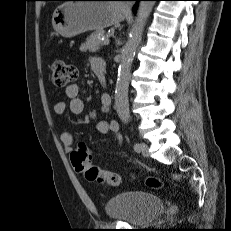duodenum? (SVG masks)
Returning a JSON list of instances; mask_svg holds the SVG:
<instances>
[{"instance_id":"1","label":"duodenum","mask_w":231,"mask_h":231,"mask_svg":"<svg viewBox=\"0 0 231 231\" xmlns=\"http://www.w3.org/2000/svg\"><path fill=\"white\" fill-rule=\"evenodd\" d=\"M94 72H95L99 82L102 85H105L106 84V64H105V62L95 66Z\"/></svg>"}]
</instances>
